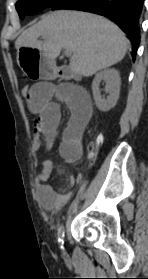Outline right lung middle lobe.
<instances>
[{
	"label": "right lung middle lobe",
	"mask_w": 148,
	"mask_h": 279,
	"mask_svg": "<svg viewBox=\"0 0 148 279\" xmlns=\"http://www.w3.org/2000/svg\"><path fill=\"white\" fill-rule=\"evenodd\" d=\"M63 1L65 0H18L16 9L19 13V17L23 19L25 15H33Z\"/></svg>",
	"instance_id": "right-lung-middle-lobe-1"
}]
</instances>
